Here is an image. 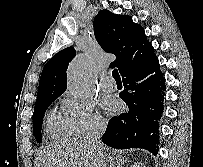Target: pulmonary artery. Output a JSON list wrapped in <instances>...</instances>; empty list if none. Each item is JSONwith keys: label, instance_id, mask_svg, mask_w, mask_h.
I'll return each instance as SVG.
<instances>
[{"label": "pulmonary artery", "instance_id": "1", "mask_svg": "<svg viewBox=\"0 0 203 167\" xmlns=\"http://www.w3.org/2000/svg\"><path fill=\"white\" fill-rule=\"evenodd\" d=\"M102 88L105 91H114L116 89V82L111 76H107L102 82Z\"/></svg>", "mask_w": 203, "mask_h": 167}]
</instances>
